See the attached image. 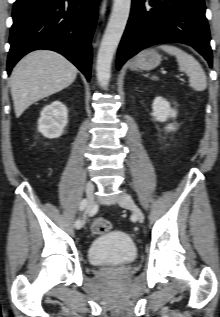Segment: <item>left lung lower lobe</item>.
<instances>
[{
    "instance_id": "0a47b994",
    "label": "left lung lower lobe",
    "mask_w": 220,
    "mask_h": 317,
    "mask_svg": "<svg viewBox=\"0 0 220 317\" xmlns=\"http://www.w3.org/2000/svg\"><path fill=\"white\" fill-rule=\"evenodd\" d=\"M167 42L194 47L212 67L204 0H132L118 50L117 69L140 50Z\"/></svg>"
}]
</instances>
